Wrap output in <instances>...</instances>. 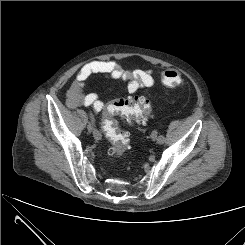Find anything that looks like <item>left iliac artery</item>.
<instances>
[{
  "label": "left iliac artery",
  "instance_id": "left-iliac-artery-1",
  "mask_svg": "<svg viewBox=\"0 0 245 245\" xmlns=\"http://www.w3.org/2000/svg\"><path fill=\"white\" fill-rule=\"evenodd\" d=\"M164 136H162V135H160L159 137H158V139H157V142L159 143V144H162V143H164Z\"/></svg>",
  "mask_w": 245,
  "mask_h": 245
}]
</instances>
